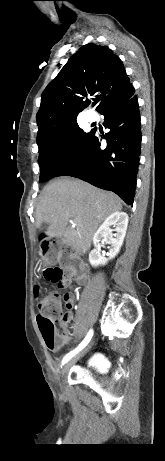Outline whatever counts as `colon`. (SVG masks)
Returning <instances> with one entry per match:
<instances>
[{
  "label": "colon",
  "instance_id": "1",
  "mask_svg": "<svg viewBox=\"0 0 165 461\" xmlns=\"http://www.w3.org/2000/svg\"><path fill=\"white\" fill-rule=\"evenodd\" d=\"M54 240H44L41 244L42 254L48 258H53ZM43 277L46 281L57 284L60 288L65 287L62 278L61 268L57 266H48L43 270ZM40 287L36 286L35 292L38 293ZM37 322L40 328L43 340L50 349L55 348L59 337L56 332L55 321L61 318L63 313L62 297L58 293H50L40 299L38 303Z\"/></svg>",
  "mask_w": 165,
  "mask_h": 461
}]
</instances>
